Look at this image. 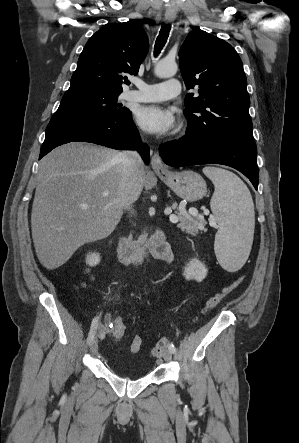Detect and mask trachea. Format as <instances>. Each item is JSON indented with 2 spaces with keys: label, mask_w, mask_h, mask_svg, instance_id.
Here are the masks:
<instances>
[{
  "label": "trachea",
  "mask_w": 299,
  "mask_h": 443,
  "mask_svg": "<svg viewBox=\"0 0 299 443\" xmlns=\"http://www.w3.org/2000/svg\"><path fill=\"white\" fill-rule=\"evenodd\" d=\"M171 30L170 24L163 23L159 32V35L156 39L155 46H154V56L157 57L163 47L165 46L167 39L169 37V33Z\"/></svg>",
  "instance_id": "1"
}]
</instances>
